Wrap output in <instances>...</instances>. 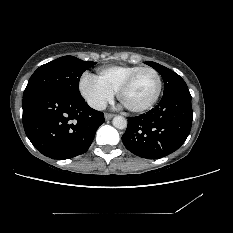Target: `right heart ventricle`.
I'll return each mask as SVG.
<instances>
[{
	"label": "right heart ventricle",
	"mask_w": 233,
	"mask_h": 233,
	"mask_svg": "<svg viewBox=\"0 0 233 233\" xmlns=\"http://www.w3.org/2000/svg\"><path fill=\"white\" fill-rule=\"evenodd\" d=\"M143 68L142 66H111L98 71L94 79L112 94L117 93L121 84L134 72Z\"/></svg>",
	"instance_id": "right-heart-ventricle-1"
}]
</instances>
